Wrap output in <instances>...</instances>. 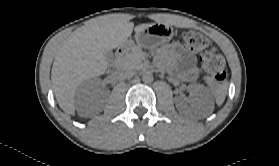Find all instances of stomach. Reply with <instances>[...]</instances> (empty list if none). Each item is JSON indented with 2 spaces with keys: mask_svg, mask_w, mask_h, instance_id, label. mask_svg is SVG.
Instances as JSON below:
<instances>
[{
  "mask_svg": "<svg viewBox=\"0 0 279 166\" xmlns=\"http://www.w3.org/2000/svg\"><path fill=\"white\" fill-rule=\"evenodd\" d=\"M174 36L173 29L164 23H154L138 32L134 36V40H127L123 46L127 49L133 48L135 45L144 48H155L169 42Z\"/></svg>",
  "mask_w": 279,
  "mask_h": 166,
  "instance_id": "stomach-1",
  "label": "stomach"
}]
</instances>
